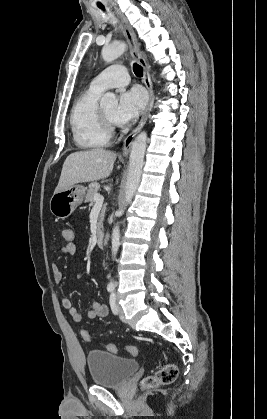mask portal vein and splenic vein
Returning <instances> with one entry per match:
<instances>
[{
    "label": "portal vein and splenic vein",
    "mask_w": 267,
    "mask_h": 419,
    "mask_svg": "<svg viewBox=\"0 0 267 419\" xmlns=\"http://www.w3.org/2000/svg\"><path fill=\"white\" fill-rule=\"evenodd\" d=\"M94 201H95V206L102 205L103 202H104V197L100 194H95L94 195Z\"/></svg>",
    "instance_id": "1"
}]
</instances>
